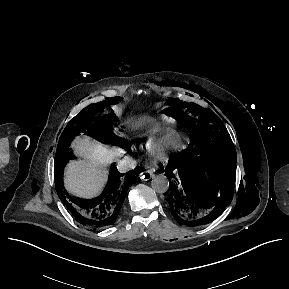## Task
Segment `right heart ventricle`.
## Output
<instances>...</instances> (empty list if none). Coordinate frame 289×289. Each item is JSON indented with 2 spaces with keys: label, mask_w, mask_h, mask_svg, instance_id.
<instances>
[{
  "label": "right heart ventricle",
  "mask_w": 289,
  "mask_h": 289,
  "mask_svg": "<svg viewBox=\"0 0 289 289\" xmlns=\"http://www.w3.org/2000/svg\"><path fill=\"white\" fill-rule=\"evenodd\" d=\"M176 138L175 133L167 132L159 136L145 135L139 141L138 149L147 152H159Z\"/></svg>",
  "instance_id": "right-heart-ventricle-1"
}]
</instances>
